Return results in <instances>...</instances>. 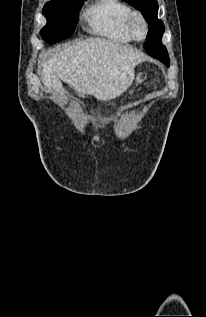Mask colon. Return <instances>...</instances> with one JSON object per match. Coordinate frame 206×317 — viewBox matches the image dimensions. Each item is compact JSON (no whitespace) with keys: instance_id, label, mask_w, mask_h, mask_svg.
Listing matches in <instances>:
<instances>
[{"instance_id":"obj_1","label":"colon","mask_w":206,"mask_h":317,"mask_svg":"<svg viewBox=\"0 0 206 317\" xmlns=\"http://www.w3.org/2000/svg\"><path fill=\"white\" fill-rule=\"evenodd\" d=\"M143 79H144L143 74H139L137 77V82H141V81H143Z\"/></svg>"}]
</instances>
